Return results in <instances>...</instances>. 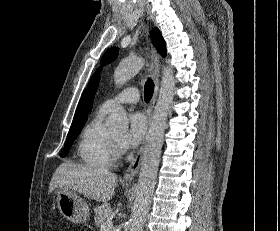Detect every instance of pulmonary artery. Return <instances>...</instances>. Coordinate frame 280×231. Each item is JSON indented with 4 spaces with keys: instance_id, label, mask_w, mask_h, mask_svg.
Returning <instances> with one entry per match:
<instances>
[{
    "instance_id": "pulmonary-artery-1",
    "label": "pulmonary artery",
    "mask_w": 280,
    "mask_h": 231,
    "mask_svg": "<svg viewBox=\"0 0 280 231\" xmlns=\"http://www.w3.org/2000/svg\"><path fill=\"white\" fill-rule=\"evenodd\" d=\"M139 91L135 87H129L117 94L115 97L111 99H107L104 101L100 106V111L107 113L114 109L117 106H120L122 104L130 103L134 104L137 103L139 100Z\"/></svg>"
}]
</instances>
